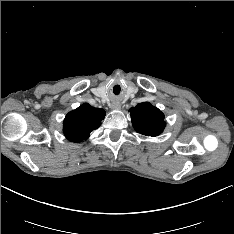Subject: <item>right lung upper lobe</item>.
Masks as SVG:
<instances>
[{
  "mask_svg": "<svg viewBox=\"0 0 234 234\" xmlns=\"http://www.w3.org/2000/svg\"><path fill=\"white\" fill-rule=\"evenodd\" d=\"M104 117L103 109L93 108L85 103L66 115L63 124L64 135L72 142L86 140L90 133L101 125Z\"/></svg>",
  "mask_w": 234,
  "mask_h": 234,
  "instance_id": "obj_1",
  "label": "right lung upper lobe"
}]
</instances>
